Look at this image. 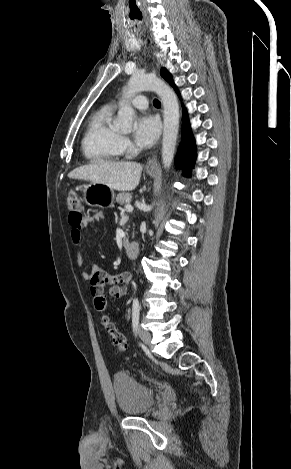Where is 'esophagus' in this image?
<instances>
[{
	"instance_id": "obj_1",
	"label": "esophagus",
	"mask_w": 291,
	"mask_h": 469,
	"mask_svg": "<svg viewBox=\"0 0 291 469\" xmlns=\"http://www.w3.org/2000/svg\"><path fill=\"white\" fill-rule=\"evenodd\" d=\"M158 167V160H157V156L156 154L152 155V157L149 158L147 164H146V168L147 169H153V168H156Z\"/></svg>"
}]
</instances>
